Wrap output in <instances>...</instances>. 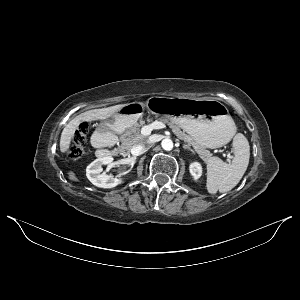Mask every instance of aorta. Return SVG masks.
I'll return each instance as SVG.
<instances>
[{
  "label": "aorta",
  "mask_w": 300,
  "mask_h": 300,
  "mask_svg": "<svg viewBox=\"0 0 300 300\" xmlns=\"http://www.w3.org/2000/svg\"><path fill=\"white\" fill-rule=\"evenodd\" d=\"M161 146L164 150L170 151L173 149L174 145H173V141L171 139L166 138V139L162 140Z\"/></svg>",
  "instance_id": "obj_1"
}]
</instances>
